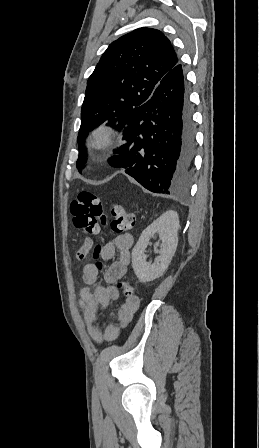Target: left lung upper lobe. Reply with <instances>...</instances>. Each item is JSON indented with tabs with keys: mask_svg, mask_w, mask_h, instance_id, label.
<instances>
[{
	"mask_svg": "<svg viewBox=\"0 0 259 448\" xmlns=\"http://www.w3.org/2000/svg\"><path fill=\"white\" fill-rule=\"evenodd\" d=\"M179 63L170 40L159 30L139 28L112 42L87 81L81 109L77 168L86 163L83 139L108 120L124 129L133 109L151 97L160 80Z\"/></svg>",
	"mask_w": 259,
	"mask_h": 448,
	"instance_id": "1",
	"label": "left lung upper lobe"
}]
</instances>
